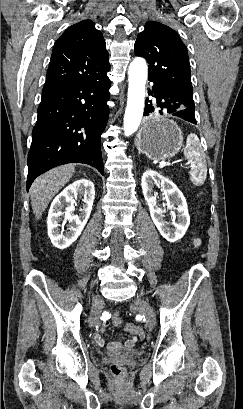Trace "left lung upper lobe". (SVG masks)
Masks as SVG:
<instances>
[{"label":"left lung upper lobe","instance_id":"1","mask_svg":"<svg viewBox=\"0 0 243 409\" xmlns=\"http://www.w3.org/2000/svg\"><path fill=\"white\" fill-rule=\"evenodd\" d=\"M135 54L149 63V79L193 96L187 49L170 27L149 21L138 34Z\"/></svg>","mask_w":243,"mask_h":409}]
</instances>
